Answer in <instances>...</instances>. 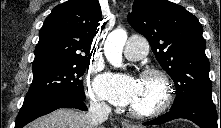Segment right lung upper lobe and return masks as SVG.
<instances>
[{"label": "right lung upper lobe", "mask_w": 221, "mask_h": 128, "mask_svg": "<svg viewBox=\"0 0 221 128\" xmlns=\"http://www.w3.org/2000/svg\"><path fill=\"white\" fill-rule=\"evenodd\" d=\"M102 19L98 0H69L54 7L39 32L32 71L90 60Z\"/></svg>", "instance_id": "1"}]
</instances>
